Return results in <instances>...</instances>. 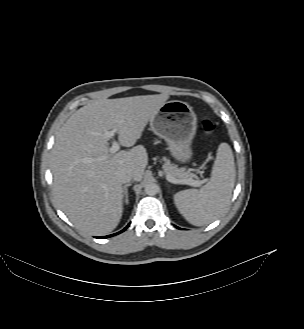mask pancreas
<instances>
[{
  "label": "pancreas",
  "mask_w": 304,
  "mask_h": 329,
  "mask_svg": "<svg viewBox=\"0 0 304 329\" xmlns=\"http://www.w3.org/2000/svg\"><path fill=\"white\" fill-rule=\"evenodd\" d=\"M165 163L163 165L164 173L166 175H171L176 179H191L194 174L190 169L178 168L176 165L172 164L169 159H164Z\"/></svg>",
  "instance_id": "pancreas-1"
}]
</instances>
